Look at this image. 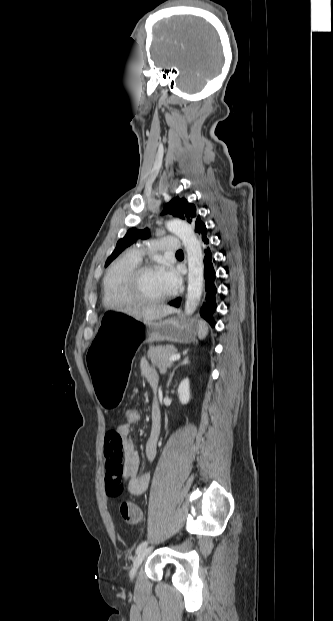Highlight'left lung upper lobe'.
<instances>
[{
	"mask_svg": "<svg viewBox=\"0 0 333 621\" xmlns=\"http://www.w3.org/2000/svg\"><path fill=\"white\" fill-rule=\"evenodd\" d=\"M163 214H171L184 219L194 226L195 230L204 224L200 216L197 214L196 205L189 203L184 197L173 198L165 205L162 215ZM149 236L150 232L148 228L144 230H138L136 228L129 229L126 235L117 242L115 250L106 260L105 267L108 266L125 248L135 243L138 239H146Z\"/></svg>",
	"mask_w": 333,
	"mask_h": 621,
	"instance_id": "5c2ea615",
	"label": "left lung upper lobe"
}]
</instances>
